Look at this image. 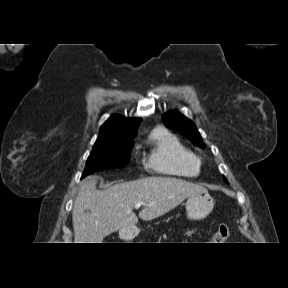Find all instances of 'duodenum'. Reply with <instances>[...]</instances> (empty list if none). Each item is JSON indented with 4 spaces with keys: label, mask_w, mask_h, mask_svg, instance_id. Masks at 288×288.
I'll list each match as a JSON object with an SVG mask.
<instances>
[{
    "label": "duodenum",
    "mask_w": 288,
    "mask_h": 288,
    "mask_svg": "<svg viewBox=\"0 0 288 288\" xmlns=\"http://www.w3.org/2000/svg\"><path fill=\"white\" fill-rule=\"evenodd\" d=\"M129 237H130V234H129V233H127V232H123V233H122V238H123V239L127 240V239H129Z\"/></svg>",
    "instance_id": "410a0bca"
}]
</instances>
